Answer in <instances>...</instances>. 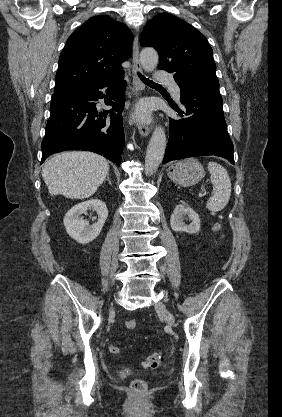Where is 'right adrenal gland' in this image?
I'll list each match as a JSON object with an SVG mask.
<instances>
[{"label": "right adrenal gland", "instance_id": "1", "mask_svg": "<svg viewBox=\"0 0 282 417\" xmlns=\"http://www.w3.org/2000/svg\"><path fill=\"white\" fill-rule=\"evenodd\" d=\"M106 180H108L109 184H112V182L110 180V176H107Z\"/></svg>", "mask_w": 282, "mask_h": 417}]
</instances>
